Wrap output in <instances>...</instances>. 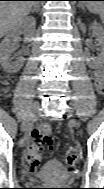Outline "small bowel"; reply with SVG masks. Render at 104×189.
Listing matches in <instances>:
<instances>
[{
    "mask_svg": "<svg viewBox=\"0 0 104 189\" xmlns=\"http://www.w3.org/2000/svg\"><path fill=\"white\" fill-rule=\"evenodd\" d=\"M93 78H94V85H95L96 89L101 91L104 87V76H103L102 70L101 69L95 70ZM4 84H9V80L5 79ZM30 136H31V143H32V132L30 133ZM31 143H30V145H31ZM29 146H28V148H29ZM28 148H27V150H28Z\"/></svg>",
    "mask_w": 104,
    "mask_h": 189,
    "instance_id": "obj_1",
    "label": "small bowel"
}]
</instances>
